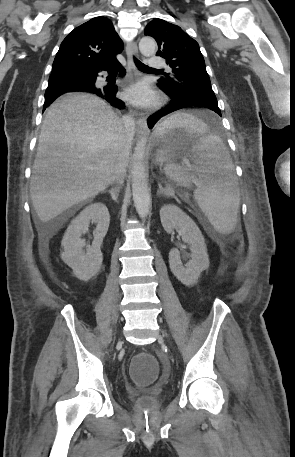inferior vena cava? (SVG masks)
Wrapping results in <instances>:
<instances>
[{
	"instance_id": "602c4592",
	"label": "inferior vena cava",
	"mask_w": 295,
	"mask_h": 457,
	"mask_svg": "<svg viewBox=\"0 0 295 457\" xmlns=\"http://www.w3.org/2000/svg\"><path fill=\"white\" fill-rule=\"evenodd\" d=\"M122 123L125 129V139L131 141L135 132V120L130 115H126L122 118ZM126 167L127 153L126 151H122L115 164L113 175V180L116 181L117 184H123L126 175Z\"/></svg>"
}]
</instances>
